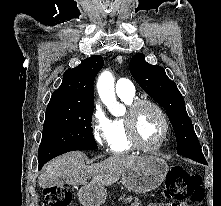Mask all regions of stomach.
I'll list each match as a JSON object with an SVG mask.
<instances>
[{"label": "stomach", "mask_w": 221, "mask_h": 206, "mask_svg": "<svg viewBox=\"0 0 221 206\" xmlns=\"http://www.w3.org/2000/svg\"><path fill=\"white\" fill-rule=\"evenodd\" d=\"M168 170L163 159L142 156L124 172L121 182L129 191L147 193L163 183ZM78 196L83 206H100L106 199L107 191L103 186L88 184L80 188Z\"/></svg>", "instance_id": "obj_1"}]
</instances>
